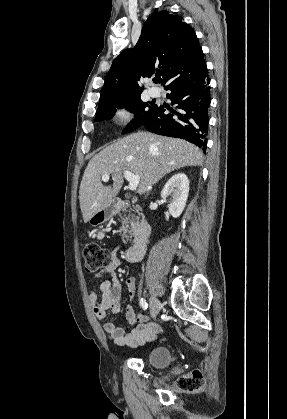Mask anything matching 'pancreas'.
I'll return each mask as SVG.
<instances>
[{
	"instance_id": "cf45deb5",
	"label": "pancreas",
	"mask_w": 287,
	"mask_h": 419,
	"mask_svg": "<svg viewBox=\"0 0 287 419\" xmlns=\"http://www.w3.org/2000/svg\"><path fill=\"white\" fill-rule=\"evenodd\" d=\"M125 209L122 210V213L119 212V216L122 219L121 231L123 232L122 238H126L128 232L133 231L137 226V217L135 215L126 214Z\"/></svg>"
}]
</instances>
